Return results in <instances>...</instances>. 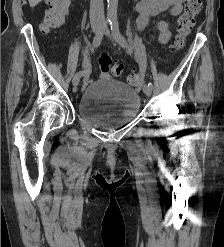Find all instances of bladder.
<instances>
[{
    "mask_svg": "<svg viewBox=\"0 0 224 247\" xmlns=\"http://www.w3.org/2000/svg\"><path fill=\"white\" fill-rule=\"evenodd\" d=\"M139 109V94L109 77L89 84L77 102L78 115L88 125L105 131L128 124L138 115Z\"/></svg>",
    "mask_w": 224,
    "mask_h": 247,
    "instance_id": "bladder-1",
    "label": "bladder"
}]
</instances>
